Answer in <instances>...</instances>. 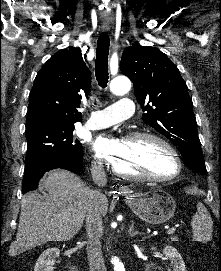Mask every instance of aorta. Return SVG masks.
<instances>
[{"mask_svg": "<svg viewBox=\"0 0 221 271\" xmlns=\"http://www.w3.org/2000/svg\"><path fill=\"white\" fill-rule=\"evenodd\" d=\"M130 88L131 82L124 76L116 77L110 83V91L115 95H124L129 92ZM111 263L114 271H125L123 263L117 257H112Z\"/></svg>", "mask_w": 221, "mask_h": 271, "instance_id": "obj_1", "label": "aorta"}]
</instances>
